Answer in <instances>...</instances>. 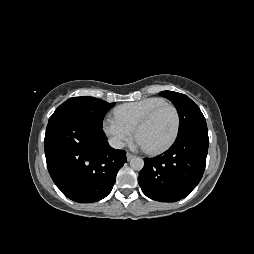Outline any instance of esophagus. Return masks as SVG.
Wrapping results in <instances>:
<instances>
[{"label":"esophagus","mask_w":254,"mask_h":254,"mask_svg":"<svg viewBox=\"0 0 254 254\" xmlns=\"http://www.w3.org/2000/svg\"><path fill=\"white\" fill-rule=\"evenodd\" d=\"M126 156L128 161H130L134 157V155L129 152H127Z\"/></svg>","instance_id":"esophagus-1"}]
</instances>
